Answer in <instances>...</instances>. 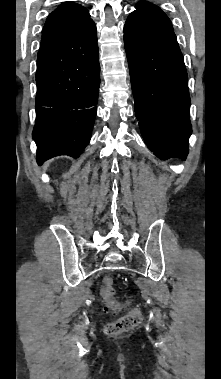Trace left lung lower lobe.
Masks as SVG:
<instances>
[{
    "mask_svg": "<svg viewBox=\"0 0 221 379\" xmlns=\"http://www.w3.org/2000/svg\"><path fill=\"white\" fill-rule=\"evenodd\" d=\"M124 45L147 146L160 159H185L192 132L188 77L171 21L158 6L139 2L124 25Z\"/></svg>",
    "mask_w": 221,
    "mask_h": 379,
    "instance_id": "left-lung-lower-lobe-1",
    "label": "left lung lower lobe"
}]
</instances>
